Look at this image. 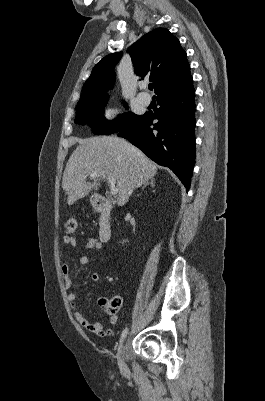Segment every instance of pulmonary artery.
<instances>
[{
    "label": "pulmonary artery",
    "mask_w": 265,
    "mask_h": 401,
    "mask_svg": "<svg viewBox=\"0 0 265 401\" xmlns=\"http://www.w3.org/2000/svg\"><path fill=\"white\" fill-rule=\"evenodd\" d=\"M139 86L142 87L143 86V82H140ZM138 101L143 103V104H145V105H148L151 102V97L149 95H145V96H141L140 95L138 97Z\"/></svg>",
    "instance_id": "1"
}]
</instances>
